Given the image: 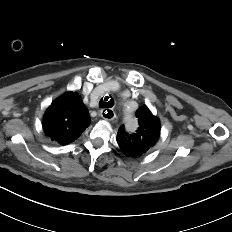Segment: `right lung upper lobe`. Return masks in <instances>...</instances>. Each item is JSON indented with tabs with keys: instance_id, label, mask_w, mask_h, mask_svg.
Here are the masks:
<instances>
[{
	"instance_id": "1",
	"label": "right lung upper lobe",
	"mask_w": 232,
	"mask_h": 232,
	"mask_svg": "<svg viewBox=\"0 0 232 232\" xmlns=\"http://www.w3.org/2000/svg\"><path fill=\"white\" fill-rule=\"evenodd\" d=\"M91 120L86 106L76 92L58 97L43 116L45 135L60 145L76 140L89 126Z\"/></svg>"
}]
</instances>
